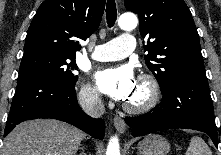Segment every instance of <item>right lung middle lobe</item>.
Returning a JSON list of instances; mask_svg holds the SVG:
<instances>
[{
	"mask_svg": "<svg viewBox=\"0 0 221 155\" xmlns=\"http://www.w3.org/2000/svg\"><path fill=\"white\" fill-rule=\"evenodd\" d=\"M78 67L73 57H63L50 53L24 55L21 61L19 77L28 72H39L48 75L60 83L74 86L77 75L73 71Z\"/></svg>",
	"mask_w": 221,
	"mask_h": 155,
	"instance_id": "dd1d6c3e",
	"label": "right lung middle lobe"
}]
</instances>
